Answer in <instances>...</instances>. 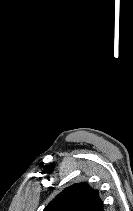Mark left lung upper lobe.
I'll return each instance as SVG.
<instances>
[{"label": "left lung upper lobe", "mask_w": 133, "mask_h": 211, "mask_svg": "<svg viewBox=\"0 0 133 211\" xmlns=\"http://www.w3.org/2000/svg\"><path fill=\"white\" fill-rule=\"evenodd\" d=\"M102 205L97 190L86 183H77L59 193L44 211H98Z\"/></svg>", "instance_id": "5c2ea615"}]
</instances>
